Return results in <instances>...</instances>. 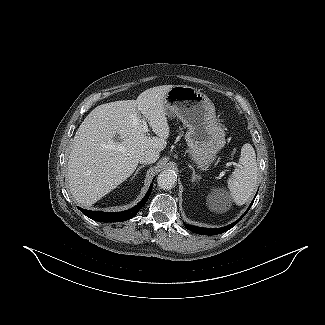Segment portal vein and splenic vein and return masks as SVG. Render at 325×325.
Masks as SVG:
<instances>
[{
	"label": "portal vein and splenic vein",
	"mask_w": 325,
	"mask_h": 325,
	"mask_svg": "<svg viewBox=\"0 0 325 325\" xmlns=\"http://www.w3.org/2000/svg\"><path fill=\"white\" fill-rule=\"evenodd\" d=\"M142 122H143V124H142V130H143V132L145 134H148L149 129H148L147 122L145 121V119Z\"/></svg>",
	"instance_id": "1"
}]
</instances>
